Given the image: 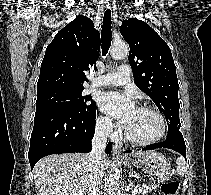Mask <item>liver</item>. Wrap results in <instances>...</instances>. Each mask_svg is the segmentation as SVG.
Returning a JSON list of instances; mask_svg holds the SVG:
<instances>
[{"instance_id": "6515ba94", "label": "liver", "mask_w": 211, "mask_h": 195, "mask_svg": "<svg viewBox=\"0 0 211 195\" xmlns=\"http://www.w3.org/2000/svg\"><path fill=\"white\" fill-rule=\"evenodd\" d=\"M150 152H137L142 158ZM107 165L102 159L103 171ZM90 173L87 155L81 153L52 154L40 159L34 166V184L37 195H86Z\"/></svg>"}]
</instances>
